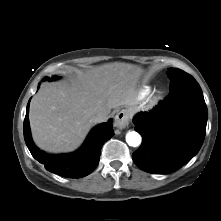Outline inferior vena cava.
Segmentation results:
<instances>
[{"label":"inferior vena cava","instance_id":"inferior-vena-cava-1","mask_svg":"<svg viewBox=\"0 0 221 221\" xmlns=\"http://www.w3.org/2000/svg\"><path fill=\"white\" fill-rule=\"evenodd\" d=\"M108 113L106 112H99L95 115H93L90 119L91 123H102L105 122L108 119Z\"/></svg>","mask_w":221,"mask_h":221}]
</instances>
